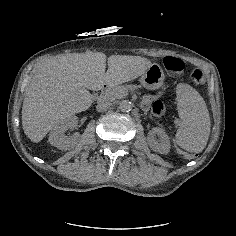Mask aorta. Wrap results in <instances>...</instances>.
<instances>
[{"mask_svg": "<svg viewBox=\"0 0 236 236\" xmlns=\"http://www.w3.org/2000/svg\"><path fill=\"white\" fill-rule=\"evenodd\" d=\"M119 109L122 112H129L132 109V103L129 100H122L119 103Z\"/></svg>", "mask_w": 236, "mask_h": 236, "instance_id": "obj_1", "label": "aorta"}]
</instances>
